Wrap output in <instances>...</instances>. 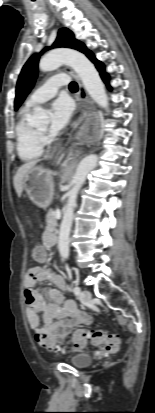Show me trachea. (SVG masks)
<instances>
[{
  "label": "trachea",
  "instance_id": "trachea-1",
  "mask_svg": "<svg viewBox=\"0 0 155 413\" xmlns=\"http://www.w3.org/2000/svg\"><path fill=\"white\" fill-rule=\"evenodd\" d=\"M70 90H77L78 86L76 82H71L69 85Z\"/></svg>",
  "mask_w": 155,
  "mask_h": 413
}]
</instances>
